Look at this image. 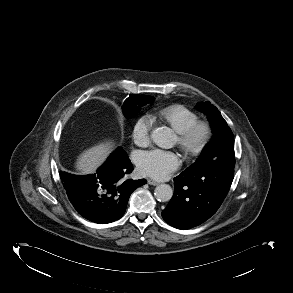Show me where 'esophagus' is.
<instances>
[{"label":"esophagus","mask_w":293,"mask_h":293,"mask_svg":"<svg viewBox=\"0 0 293 293\" xmlns=\"http://www.w3.org/2000/svg\"><path fill=\"white\" fill-rule=\"evenodd\" d=\"M147 182H148L149 185H153V186L159 185L158 181H155V180H152V179H148Z\"/></svg>","instance_id":"34e87169"}]
</instances>
